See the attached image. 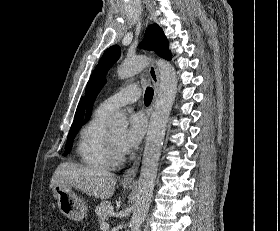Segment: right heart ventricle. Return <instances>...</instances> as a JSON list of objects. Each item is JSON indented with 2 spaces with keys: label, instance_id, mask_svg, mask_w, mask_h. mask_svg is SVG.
<instances>
[{
  "label": "right heart ventricle",
  "instance_id": "e07e8e85",
  "mask_svg": "<svg viewBox=\"0 0 280 231\" xmlns=\"http://www.w3.org/2000/svg\"><path fill=\"white\" fill-rule=\"evenodd\" d=\"M109 113L96 111L82 128L76 143V154L80 162L93 169H106L110 165L108 157L104 120Z\"/></svg>",
  "mask_w": 280,
  "mask_h": 231
}]
</instances>
